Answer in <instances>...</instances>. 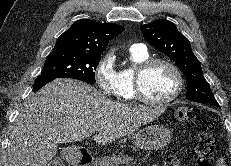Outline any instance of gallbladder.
Returning a JSON list of instances; mask_svg holds the SVG:
<instances>
[{"label": "gallbladder", "instance_id": "1", "mask_svg": "<svg viewBox=\"0 0 231 166\" xmlns=\"http://www.w3.org/2000/svg\"><path fill=\"white\" fill-rule=\"evenodd\" d=\"M55 163H61L60 159H55L51 162V166H54Z\"/></svg>", "mask_w": 231, "mask_h": 166}]
</instances>
